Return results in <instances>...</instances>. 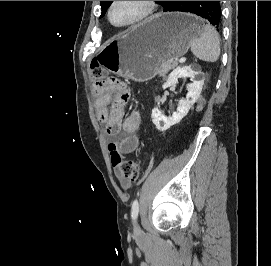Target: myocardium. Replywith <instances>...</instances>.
Wrapping results in <instances>:
<instances>
[{"instance_id":"f54148a6","label":"myocardium","mask_w":271,"mask_h":266,"mask_svg":"<svg viewBox=\"0 0 271 266\" xmlns=\"http://www.w3.org/2000/svg\"><path fill=\"white\" fill-rule=\"evenodd\" d=\"M116 2L117 1H111L110 5L108 7V10H107V17H108L109 22L114 27H117V28L135 27V26L143 23L147 19H149L156 9L155 1H142L143 5H144V9H143L142 13L135 20H133L127 24H116L112 19V10H113V7L116 4Z\"/></svg>"}]
</instances>
